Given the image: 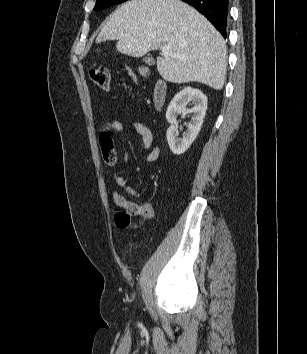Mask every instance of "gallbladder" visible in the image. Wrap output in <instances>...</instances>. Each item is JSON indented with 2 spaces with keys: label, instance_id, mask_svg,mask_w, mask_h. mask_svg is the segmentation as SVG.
<instances>
[{
  "label": "gallbladder",
  "instance_id": "1",
  "mask_svg": "<svg viewBox=\"0 0 307 354\" xmlns=\"http://www.w3.org/2000/svg\"><path fill=\"white\" fill-rule=\"evenodd\" d=\"M148 65H153L154 64V59L153 58H147L145 61Z\"/></svg>",
  "mask_w": 307,
  "mask_h": 354
}]
</instances>
